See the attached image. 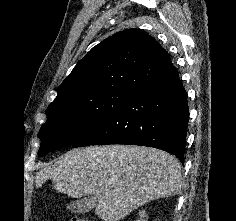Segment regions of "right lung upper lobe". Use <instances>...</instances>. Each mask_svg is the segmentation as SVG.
I'll return each mask as SVG.
<instances>
[{
    "mask_svg": "<svg viewBox=\"0 0 236 221\" xmlns=\"http://www.w3.org/2000/svg\"><path fill=\"white\" fill-rule=\"evenodd\" d=\"M172 67L168 53L149 34L140 29L120 31L77 63L49 106L115 88L138 91Z\"/></svg>",
    "mask_w": 236,
    "mask_h": 221,
    "instance_id": "right-lung-upper-lobe-1",
    "label": "right lung upper lobe"
}]
</instances>
